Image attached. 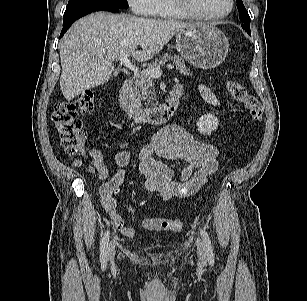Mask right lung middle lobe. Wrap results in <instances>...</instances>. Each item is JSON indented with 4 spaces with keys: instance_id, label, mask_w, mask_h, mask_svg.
Instances as JSON below:
<instances>
[{
    "instance_id": "right-lung-middle-lobe-1",
    "label": "right lung middle lobe",
    "mask_w": 307,
    "mask_h": 301,
    "mask_svg": "<svg viewBox=\"0 0 307 301\" xmlns=\"http://www.w3.org/2000/svg\"><path fill=\"white\" fill-rule=\"evenodd\" d=\"M100 8L126 9V0H69L63 18Z\"/></svg>"
}]
</instances>
